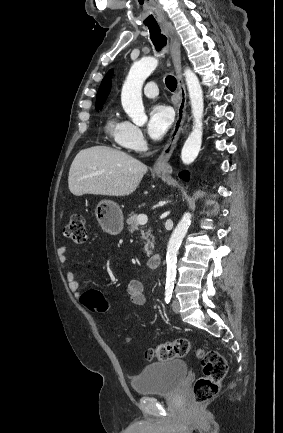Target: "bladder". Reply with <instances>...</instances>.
<instances>
[{"label": "bladder", "instance_id": "obj_1", "mask_svg": "<svg viewBox=\"0 0 283 433\" xmlns=\"http://www.w3.org/2000/svg\"><path fill=\"white\" fill-rule=\"evenodd\" d=\"M187 371L188 365L182 360L154 362L132 379L131 386L136 393L175 392Z\"/></svg>", "mask_w": 283, "mask_h": 433}]
</instances>
